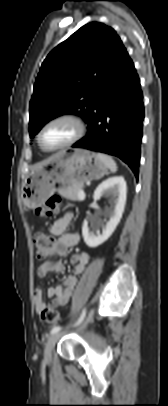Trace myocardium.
<instances>
[{"label": "myocardium", "instance_id": "f54148a6", "mask_svg": "<svg viewBox=\"0 0 168 406\" xmlns=\"http://www.w3.org/2000/svg\"><path fill=\"white\" fill-rule=\"evenodd\" d=\"M57 122L71 123L75 128L74 135L63 145H60V146L54 147V148H48V147L44 146V144L42 143V133L46 127H48L49 125H51L53 123H57ZM85 133H86V124L80 116L73 114V113H62V114H59V115H56V116L50 118L48 121H46L41 126V128L37 134V142L42 150H44L46 152H54V151L66 149V148L70 147L71 145L75 144L76 142H78L80 139H82L84 137Z\"/></svg>", "mask_w": 168, "mask_h": 406}]
</instances>
